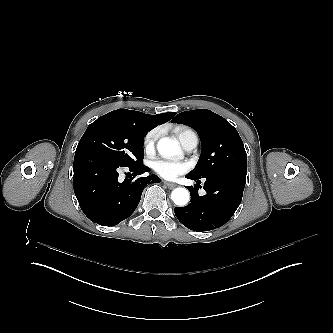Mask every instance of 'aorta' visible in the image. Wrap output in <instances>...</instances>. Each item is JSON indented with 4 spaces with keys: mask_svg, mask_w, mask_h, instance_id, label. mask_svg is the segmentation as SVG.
<instances>
[{
    "mask_svg": "<svg viewBox=\"0 0 333 333\" xmlns=\"http://www.w3.org/2000/svg\"><path fill=\"white\" fill-rule=\"evenodd\" d=\"M157 151L163 158H171L180 152L177 141L169 138H160L157 142ZM172 201L178 206H184L189 201V191L186 188H175L171 193Z\"/></svg>",
    "mask_w": 333,
    "mask_h": 333,
    "instance_id": "obj_1",
    "label": "aorta"
}]
</instances>
